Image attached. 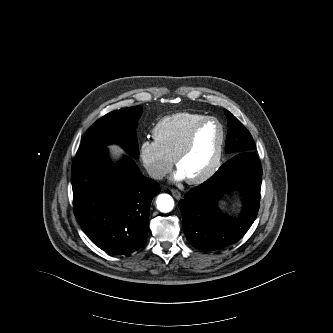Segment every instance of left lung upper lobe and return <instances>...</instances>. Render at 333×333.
Masks as SVG:
<instances>
[{
	"label": "left lung upper lobe",
	"instance_id": "5c2ea615",
	"mask_svg": "<svg viewBox=\"0 0 333 333\" xmlns=\"http://www.w3.org/2000/svg\"><path fill=\"white\" fill-rule=\"evenodd\" d=\"M228 119V135L225 149L227 153L237 154L253 151L255 143L249 131L244 125L228 110H224Z\"/></svg>",
	"mask_w": 333,
	"mask_h": 333
}]
</instances>
